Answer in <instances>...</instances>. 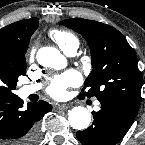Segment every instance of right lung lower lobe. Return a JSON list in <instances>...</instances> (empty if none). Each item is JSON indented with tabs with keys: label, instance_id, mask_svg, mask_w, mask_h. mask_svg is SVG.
I'll return each mask as SVG.
<instances>
[{
	"label": "right lung lower lobe",
	"instance_id": "obj_1",
	"mask_svg": "<svg viewBox=\"0 0 145 145\" xmlns=\"http://www.w3.org/2000/svg\"><path fill=\"white\" fill-rule=\"evenodd\" d=\"M52 110L45 102H31L23 107L17 96H0V143L4 145H37L40 120Z\"/></svg>",
	"mask_w": 145,
	"mask_h": 145
}]
</instances>
